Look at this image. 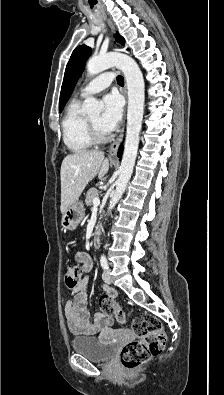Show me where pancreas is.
I'll return each mask as SVG.
<instances>
[{
  "label": "pancreas",
  "instance_id": "obj_1",
  "mask_svg": "<svg viewBox=\"0 0 224 395\" xmlns=\"http://www.w3.org/2000/svg\"><path fill=\"white\" fill-rule=\"evenodd\" d=\"M98 196V190L95 188H91L88 190L85 198V203L87 206H91L93 203V199Z\"/></svg>",
  "mask_w": 224,
  "mask_h": 395
}]
</instances>
